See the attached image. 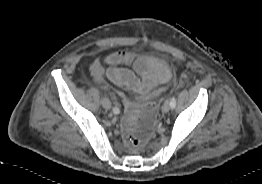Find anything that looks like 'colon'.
I'll return each instance as SVG.
<instances>
[{"label": "colon", "instance_id": "colon-1", "mask_svg": "<svg viewBox=\"0 0 262 184\" xmlns=\"http://www.w3.org/2000/svg\"><path fill=\"white\" fill-rule=\"evenodd\" d=\"M127 115L124 122L126 142L134 147H142L148 140L154 121V113L150 107L138 108L126 101Z\"/></svg>", "mask_w": 262, "mask_h": 184}]
</instances>
